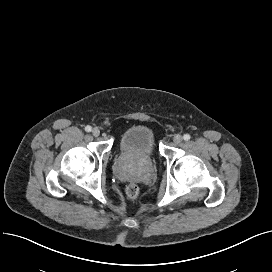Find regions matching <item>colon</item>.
<instances>
[{
  "instance_id": "5ec220e1",
  "label": "colon",
  "mask_w": 272,
  "mask_h": 272,
  "mask_svg": "<svg viewBox=\"0 0 272 272\" xmlns=\"http://www.w3.org/2000/svg\"><path fill=\"white\" fill-rule=\"evenodd\" d=\"M140 189L136 184H129L126 188V195L130 200L138 198Z\"/></svg>"
}]
</instances>
